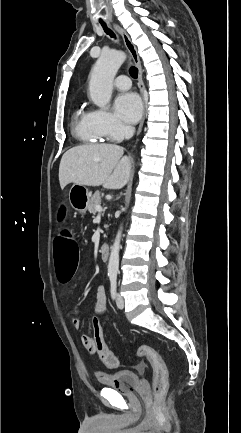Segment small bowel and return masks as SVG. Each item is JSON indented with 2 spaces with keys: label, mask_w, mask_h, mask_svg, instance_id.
I'll return each mask as SVG.
<instances>
[{
  "label": "small bowel",
  "mask_w": 241,
  "mask_h": 433,
  "mask_svg": "<svg viewBox=\"0 0 241 433\" xmlns=\"http://www.w3.org/2000/svg\"><path fill=\"white\" fill-rule=\"evenodd\" d=\"M79 279L69 288V290L67 292L68 295H70L72 293V291L77 287ZM106 309H107L106 291H105L104 286L100 284L96 288V302H95L94 310L98 314H103L106 312ZM71 322H72V325L75 329H79L81 327V321L79 318L74 317V318H72ZM81 340L89 352L96 353L95 351H91L87 348V343L93 341V338L90 335L83 334L81 336Z\"/></svg>",
  "instance_id": "1"
}]
</instances>
